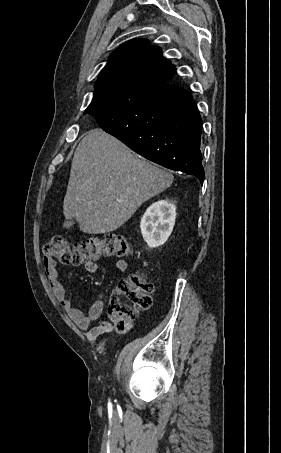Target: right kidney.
<instances>
[{
    "label": "right kidney",
    "instance_id": "right-kidney-1",
    "mask_svg": "<svg viewBox=\"0 0 281 453\" xmlns=\"http://www.w3.org/2000/svg\"><path fill=\"white\" fill-rule=\"evenodd\" d=\"M176 218V206L168 200H157L144 212L140 227L148 247H160L170 237Z\"/></svg>",
    "mask_w": 281,
    "mask_h": 453
}]
</instances>
